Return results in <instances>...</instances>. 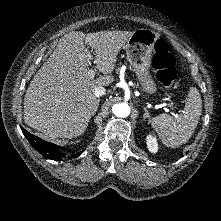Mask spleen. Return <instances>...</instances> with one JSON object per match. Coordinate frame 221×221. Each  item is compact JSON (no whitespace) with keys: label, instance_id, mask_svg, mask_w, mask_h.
Instances as JSON below:
<instances>
[{"label":"spleen","instance_id":"obj_1","mask_svg":"<svg viewBox=\"0 0 221 221\" xmlns=\"http://www.w3.org/2000/svg\"><path fill=\"white\" fill-rule=\"evenodd\" d=\"M202 112V100L199 91L191 88L185 108L177 117L160 114L151 120V125L164 145L179 147L186 143L197 127Z\"/></svg>","mask_w":221,"mask_h":221}]
</instances>
